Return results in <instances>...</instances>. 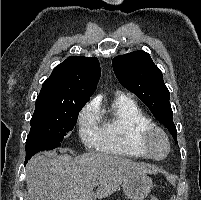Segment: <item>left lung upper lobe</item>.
<instances>
[{
  "label": "left lung upper lobe",
  "mask_w": 201,
  "mask_h": 200,
  "mask_svg": "<svg viewBox=\"0 0 201 200\" xmlns=\"http://www.w3.org/2000/svg\"><path fill=\"white\" fill-rule=\"evenodd\" d=\"M112 65L119 82L149 107L177 143V130L169 102L170 93L164 84L162 72L150 55L142 50L134 51L116 56Z\"/></svg>",
  "instance_id": "left-lung-upper-lobe-1"
}]
</instances>
